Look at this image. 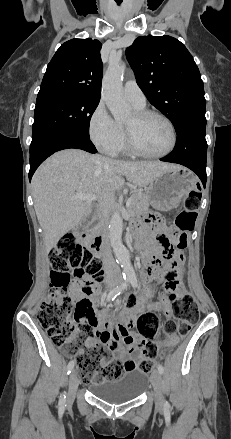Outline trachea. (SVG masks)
Wrapping results in <instances>:
<instances>
[{"instance_id": "3493384b", "label": "trachea", "mask_w": 231, "mask_h": 439, "mask_svg": "<svg viewBox=\"0 0 231 439\" xmlns=\"http://www.w3.org/2000/svg\"><path fill=\"white\" fill-rule=\"evenodd\" d=\"M117 3L120 4L121 2H120V1H117Z\"/></svg>"}]
</instances>
